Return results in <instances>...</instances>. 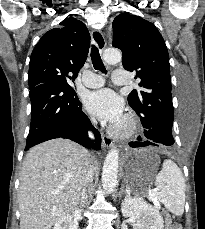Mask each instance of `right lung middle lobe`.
I'll return each mask as SVG.
<instances>
[{
    "instance_id": "right-lung-middle-lobe-1",
    "label": "right lung middle lobe",
    "mask_w": 205,
    "mask_h": 229,
    "mask_svg": "<svg viewBox=\"0 0 205 229\" xmlns=\"http://www.w3.org/2000/svg\"><path fill=\"white\" fill-rule=\"evenodd\" d=\"M74 80L68 78V77H65V76H62V77H56L54 79V82H58L60 84H63L65 86H69V87H72L71 84Z\"/></svg>"
}]
</instances>
